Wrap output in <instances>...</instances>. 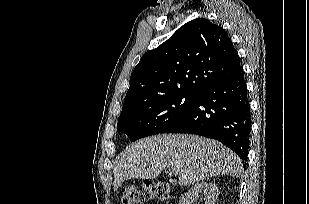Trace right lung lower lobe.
Here are the masks:
<instances>
[{"label": "right lung lower lobe", "instance_id": "98d812e1", "mask_svg": "<svg viewBox=\"0 0 309 204\" xmlns=\"http://www.w3.org/2000/svg\"><path fill=\"white\" fill-rule=\"evenodd\" d=\"M251 130L250 105L244 71L204 89L189 112L165 132L215 139L232 149L246 164Z\"/></svg>", "mask_w": 309, "mask_h": 204}]
</instances>
